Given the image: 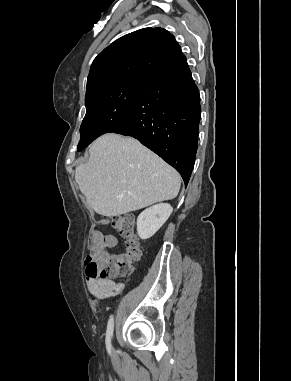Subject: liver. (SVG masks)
Segmentation results:
<instances>
[{"instance_id": "obj_1", "label": "liver", "mask_w": 291, "mask_h": 381, "mask_svg": "<svg viewBox=\"0 0 291 381\" xmlns=\"http://www.w3.org/2000/svg\"><path fill=\"white\" fill-rule=\"evenodd\" d=\"M75 180L87 204L102 216H119L174 199L178 172L132 137L108 133L90 147L86 164L76 167Z\"/></svg>"}]
</instances>
